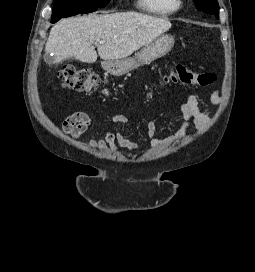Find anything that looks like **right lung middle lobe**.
Here are the masks:
<instances>
[{
  "label": "right lung middle lobe",
  "instance_id": "1",
  "mask_svg": "<svg viewBox=\"0 0 255 272\" xmlns=\"http://www.w3.org/2000/svg\"><path fill=\"white\" fill-rule=\"evenodd\" d=\"M110 0H55L51 22L83 13H92L105 7Z\"/></svg>",
  "mask_w": 255,
  "mask_h": 272
}]
</instances>
